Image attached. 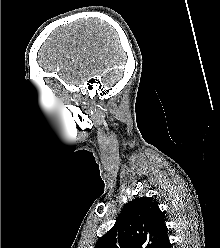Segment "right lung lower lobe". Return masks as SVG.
<instances>
[{"mask_svg":"<svg viewBox=\"0 0 220 248\" xmlns=\"http://www.w3.org/2000/svg\"><path fill=\"white\" fill-rule=\"evenodd\" d=\"M158 248H171L169 238L167 237Z\"/></svg>","mask_w":220,"mask_h":248,"instance_id":"right-lung-lower-lobe-1","label":"right lung lower lobe"}]
</instances>
